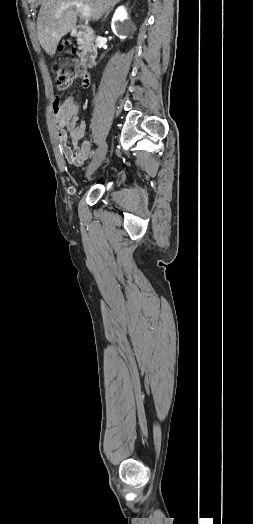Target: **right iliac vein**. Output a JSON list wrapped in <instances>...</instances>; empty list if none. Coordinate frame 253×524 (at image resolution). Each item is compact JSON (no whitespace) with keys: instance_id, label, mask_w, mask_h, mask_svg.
I'll list each match as a JSON object with an SVG mask.
<instances>
[{"instance_id":"63e3f726","label":"right iliac vein","mask_w":253,"mask_h":524,"mask_svg":"<svg viewBox=\"0 0 253 524\" xmlns=\"http://www.w3.org/2000/svg\"><path fill=\"white\" fill-rule=\"evenodd\" d=\"M106 153H107V143L102 142L99 148L97 149L91 164L89 165L87 176L92 175L100 167V165L102 164L106 156Z\"/></svg>"}]
</instances>
